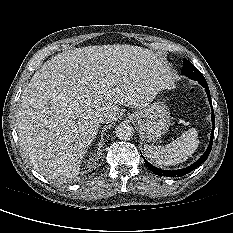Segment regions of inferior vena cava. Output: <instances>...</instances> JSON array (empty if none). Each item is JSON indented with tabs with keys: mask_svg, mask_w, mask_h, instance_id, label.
I'll return each mask as SVG.
<instances>
[{
	"mask_svg": "<svg viewBox=\"0 0 233 233\" xmlns=\"http://www.w3.org/2000/svg\"><path fill=\"white\" fill-rule=\"evenodd\" d=\"M94 122L99 123V124L103 123L104 122L103 116H97V117H95Z\"/></svg>",
	"mask_w": 233,
	"mask_h": 233,
	"instance_id": "1",
	"label": "inferior vena cava"
}]
</instances>
